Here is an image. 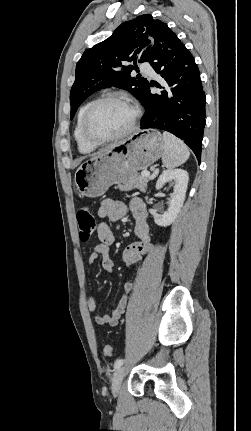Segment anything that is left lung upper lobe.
I'll return each instance as SVG.
<instances>
[{
  "mask_svg": "<svg viewBox=\"0 0 251 431\" xmlns=\"http://www.w3.org/2000/svg\"><path fill=\"white\" fill-rule=\"evenodd\" d=\"M171 33L165 23L145 14L122 23L108 39L87 49L76 65L70 92L71 119L88 96L103 88L125 89L141 101L149 83L130 73L137 61L149 62L154 50Z\"/></svg>",
  "mask_w": 251,
  "mask_h": 431,
  "instance_id": "1",
  "label": "left lung upper lobe"
}]
</instances>
